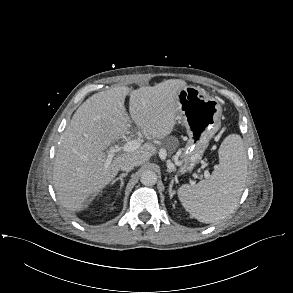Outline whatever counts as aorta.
<instances>
[{"label":"aorta","instance_id":"762f6f07","mask_svg":"<svg viewBox=\"0 0 293 293\" xmlns=\"http://www.w3.org/2000/svg\"><path fill=\"white\" fill-rule=\"evenodd\" d=\"M140 181L145 186H153L157 183V175L154 171L146 170L141 174Z\"/></svg>","mask_w":293,"mask_h":293}]
</instances>
